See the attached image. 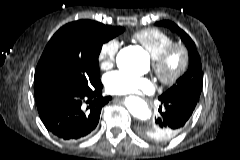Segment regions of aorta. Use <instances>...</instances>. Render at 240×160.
<instances>
[{"instance_id":"1","label":"aorta","mask_w":240,"mask_h":160,"mask_svg":"<svg viewBox=\"0 0 240 160\" xmlns=\"http://www.w3.org/2000/svg\"><path fill=\"white\" fill-rule=\"evenodd\" d=\"M127 63L131 69L140 71L147 65V57L144 51L137 47H129L121 50L117 55V64L119 67ZM125 106L129 112L141 120L147 121L151 117L150 110L139 97L129 96L125 99Z\"/></svg>"}]
</instances>
